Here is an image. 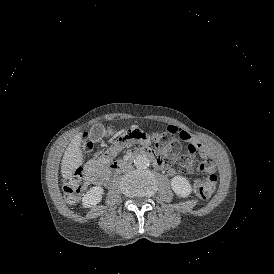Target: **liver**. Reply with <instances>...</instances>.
Instances as JSON below:
<instances>
[{
  "mask_svg": "<svg viewBox=\"0 0 274 274\" xmlns=\"http://www.w3.org/2000/svg\"><path fill=\"white\" fill-rule=\"evenodd\" d=\"M81 136L78 134L76 135L72 141L70 142L68 148L66 149L62 165H61V173L64 177H68L74 169L81 164L80 154L81 151L79 150V141Z\"/></svg>",
  "mask_w": 274,
  "mask_h": 274,
  "instance_id": "liver-1",
  "label": "liver"
}]
</instances>
